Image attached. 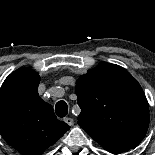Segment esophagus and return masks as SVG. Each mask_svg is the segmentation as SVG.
I'll return each instance as SVG.
<instances>
[{"label":"esophagus","mask_w":155,"mask_h":155,"mask_svg":"<svg viewBox=\"0 0 155 155\" xmlns=\"http://www.w3.org/2000/svg\"><path fill=\"white\" fill-rule=\"evenodd\" d=\"M64 121L69 125V126H73L74 124V120L70 117L64 118Z\"/></svg>","instance_id":"esophagus-1"}]
</instances>
